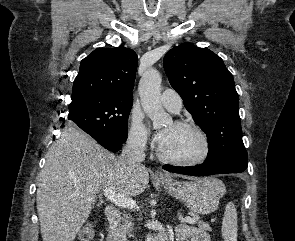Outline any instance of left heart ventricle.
Wrapping results in <instances>:
<instances>
[{"mask_svg":"<svg viewBox=\"0 0 295 241\" xmlns=\"http://www.w3.org/2000/svg\"><path fill=\"white\" fill-rule=\"evenodd\" d=\"M163 131L167 133L166 140L161 144L165 155L180 160H191L201 154L202 142L194 130L170 124Z\"/></svg>","mask_w":295,"mask_h":241,"instance_id":"b2bd125f","label":"left heart ventricle"}]
</instances>
